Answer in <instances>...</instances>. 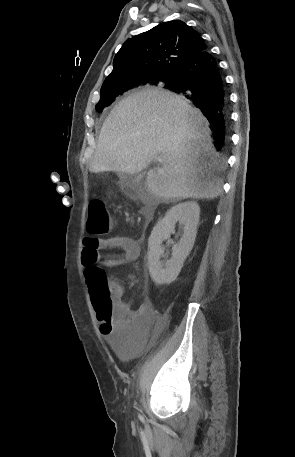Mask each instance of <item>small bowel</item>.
<instances>
[{"mask_svg":"<svg viewBox=\"0 0 295 457\" xmlns=\"http://www.w3.org/2000/svg\"><path fill=\"white\" fill-rule=\"evenodd\" d=\"M118 248L122 254L102 259L101 251ZM140 247L138 242L128 236L97 237L86 235L83 238L82 264L99 263L105 268L113 269L123 266L138 258ZM115 312L109 322H100V330L106 338H136L146 327L153 315L151 304L145 303L133 311L123 300L124 290L120 285H114Z\"/></svg>","mask_w":295,"mask_h":457,"instance_id":"c3829d8e","label":"small bowel"}]
</instances>
